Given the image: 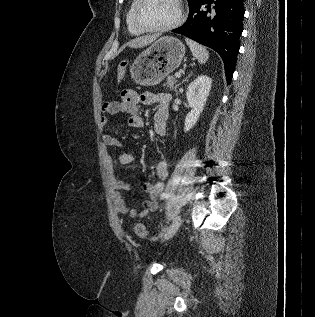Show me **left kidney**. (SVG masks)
<instances>
[{"instance_id":"obj_1","label":"left kidney","mask_w":315,"mask_h":317,"mask_svg":"<svg viewBox=\"0 0 315 317\" xmlns=\"http://www.w3.org/2000/svg\"><path fill=\"white\" fill-rule=\"evenodd\" d=\"M212 80L207 75H200L190 83L186 91V97L191 108L184 123V131H189L198 121L202 113L207 97L211 90Z\"/></svg>"}]
</instances>
